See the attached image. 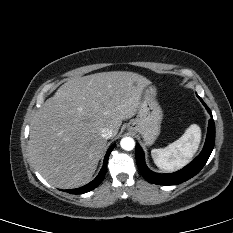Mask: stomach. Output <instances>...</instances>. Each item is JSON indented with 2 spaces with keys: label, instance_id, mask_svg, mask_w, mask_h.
Listing matches in <instances>:
<instances>
[{
  "label": "stomach",
  "instance_id": "1",
  "mask_svg": "<svg viewBox=\"0 0 233 233\" xmlns=\"http://www.w3.org/2000/svg\"><path fill=\"white\" fill-rule=\"evenodd\" d=\"M163 112L156 100V88L149 84L142 90L137 116L132 119L127 128L130 132L142 135L146 145L154 143L160 134Z\"/></svg>",
  "mask_w": 233,
  "mask_h": 233
}]
</instances>
